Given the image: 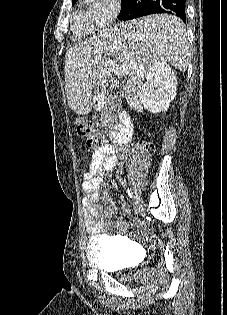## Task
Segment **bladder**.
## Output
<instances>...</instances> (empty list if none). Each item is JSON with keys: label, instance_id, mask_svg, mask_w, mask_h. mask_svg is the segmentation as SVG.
I'll return each instance as SVG.
<instances>
[{"label": "bladder", "instance_id": "31cf9c89", "mask_svg": "<svg viewBox=\"0 0 227 315\" xmlns=\"http://www.w3.org/2000/svg\"><path fill=\"white\" fill-rule=\"evenodd\" d=\"M132 242L116 236H93L87 245V262L102 270H117L131 266L128 257Z\"/></svg>", "mask_w": 227, "mask_h": 315}]
</instances>
